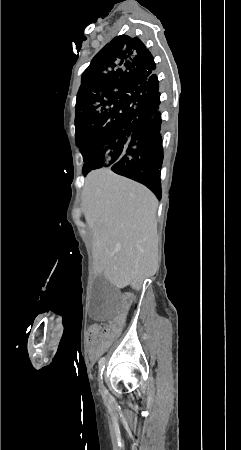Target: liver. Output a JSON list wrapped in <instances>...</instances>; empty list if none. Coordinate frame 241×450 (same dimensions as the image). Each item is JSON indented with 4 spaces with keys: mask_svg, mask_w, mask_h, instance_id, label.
Wrapping results in <instances>:
<instances>
[{
    "mask_svg": "<svg viewBox=\"0 0 241 450\" xmlns=\"http://www.w3.org/2000/svg\"><path fill=\"white\" fill-rule=\"evenodd\" d=\"M82 206L93 230L95 272L116 288L140 290L143 280L158 270L156 196L142 184L101 168L86 176Z\"/></svg>",
    "mask_w": 241,
    "mask_h": 450,
    "instance_id": "6515ba94",
    "label": "liver"
}]
</instances>
